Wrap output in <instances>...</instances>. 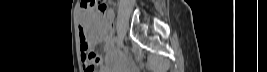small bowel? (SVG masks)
Returning <instances> with one entry per match:
<instances>
[{"instance_id":"1","label":"small bowel","mask_w":267,"mask_h":72,"mask_svg":"<svg viewBox=\"0 0 267 72\" xmlns=\"http://www.w3.org/2000/svg\"><path fill=\"white\" fill-rule=\"evenodd\" d=\"M109 23L111 24L109 29H104V21L99 20V19H89V23L90 25L96 27V37L98 39L104 40L105 41V45H104V52L106 53L107 57H110L112 54V50H113V45H112V40H111V36H110V32L112 31V23H113V15L109 14ZM81 41H85V31L82 32L81 34ZM86 50H81V58L83 61V64L85 65L87 63V58H86ZM100 63L102 65V71L106 72L109 69V66L106 63H103L101 57H100Z\"/></svg>"}]
</instances>
